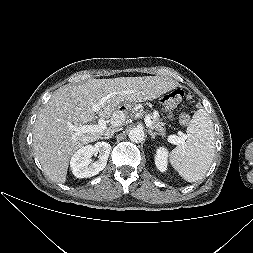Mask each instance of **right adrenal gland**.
<instances>
[{
	"label": "right adrenal gland",
	"instance_id": "right-adrenal-gland-1",
	"mask_svg": "<svg viewBox=\"0 0 253 253\" xmlns=\"http://www.w3.org/2000/svg\"><path fill=\"white\" fill-rule=\"evenodd\" d=\"M113 136H109V137H104V139H109V138H112Z\"/></svg>",
	"mask_w": 253,
	"mask_h": 253
}]
</instances>
